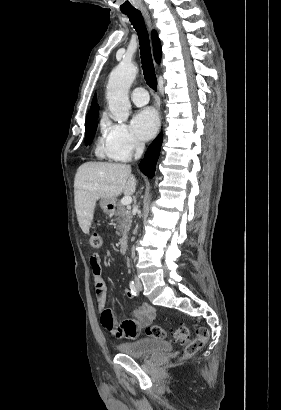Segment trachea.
Here are the masks:
<instances>
[{
	"mask_svg": "<svg viewBox=\"0 0 281 410\" xmlns=\"http://www.w3.org/2000/svg\"><path fill=\"white\" fill-rule=\"evenodd\" d=\"M130 19L131 24L136 29L140 44L141 62L144 78L148 86L156 91L157 78L154 70L149 35L140 11L124 13Z\"/></svg>",
	"mask_w": 281,
	"mask_h": 410,
	"instance_id": "1",
	"label": "trachea"
}]
</instances>
